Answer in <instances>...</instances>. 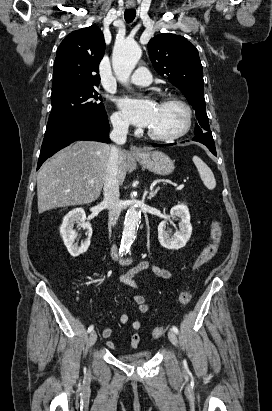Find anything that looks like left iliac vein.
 Returning a JSON list of instances; mask_svg holds the SVG:
<instances>
[{"label": "left iliac vein", "mask_w": 272, "mask_h": 411, "mask_svg": "<svg viewBox=\"0 0 272 411\" xmlns=\"http://www.w3.org/2000/svg\"><path fill=\"white\" fill-rule=\"evenodd\" d=\"M168 338H169L170 342H171L173 345H175V346L178 345L177 336H176V334H175L172 330H169V331H168Z\"/></svg>", "instance_id": "1"}]
</instances>
